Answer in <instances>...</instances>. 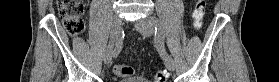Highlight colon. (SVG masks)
<instances>
[{"mask_svg": "<svg viewBox=\"0 0 279 82\" xmlns=\"http://www.w3.org/2000/svg\"><path fill=\"white\" fill-rule=\"evenodd\" d=\"M205 0L196 1V7L193 10L191 17L193 20V25L199 28L202 24L205 6ZM59 16L63 21L66 30L71 35H79L83 33L84 24V1L82 0H57ZM113 72L118 77H129L135 74V69L128 65L115 64L113 67ZM168 78V73L165 70H158L155 73V82H166Z\"/></svg>", "mask_w": 279, "mask_h": 82, "instance_id": "colon-1", "label": "colon"}]
</instances>
